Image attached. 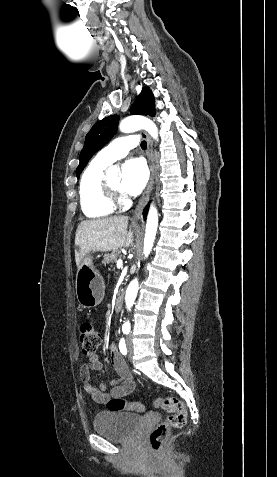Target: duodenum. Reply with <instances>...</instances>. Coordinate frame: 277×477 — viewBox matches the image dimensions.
<instances>
[{
    "mask_svg": "<svg viewBox=\"0 0 277 477\" xmlns=\"http://www.w3.org/2000/svg\"><path fill=\"white\" fill-rule=\"evenodd\" d=\"M114 308H115L116 312H121V310L123 308V297L121 295H119L116 298Z\"/></svg>",
    "mask_w": 277,
    "mask_h": 477,
    "instance_id": "duodenum-1",
    "label": "duodenum"
}]
</instances>
